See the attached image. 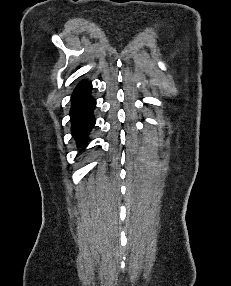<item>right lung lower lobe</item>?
<instances>
[{
  "label": "right lung lower lobe",
  "instance_id": "obj_1",
  "mask_svg": "<svg viewBox=\"0 0 231 286\" xmlns=\"http://www.w3.org/2000/svg\"><path fill=\"white\" fill-rule=\"evenodd\" d=\"M91 83L81 81L72 95V105L70 110L71 130L79 147L86 145L85 138L95 125L93 110L96 101L91 97Z\"/></svg>",
  "mask_w": 231,
  "mask_h": 286
}]
</instances>
